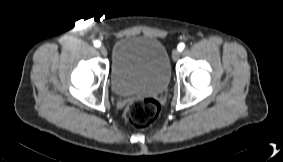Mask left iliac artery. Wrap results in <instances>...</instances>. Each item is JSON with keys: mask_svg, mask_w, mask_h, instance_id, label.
Wrapping results in <instances>:
<instances>
[{"mask_svg": "<svg viewBox=\"0 0 283 162\" xmlns=\"http://www.w3.org/2000/svg\"><path fill=\"white\" fill-rule=\"evenodd\" d=\"M184 48H185V44H184V43H180V44L178 45V50H179V51H182Z\"/></svg>", "mask_w": 283, "mask_h": 162, "instance_id": "left-iliac-artery-1", "label": "left iliac artery"}]
</instances>
